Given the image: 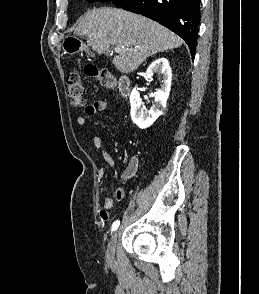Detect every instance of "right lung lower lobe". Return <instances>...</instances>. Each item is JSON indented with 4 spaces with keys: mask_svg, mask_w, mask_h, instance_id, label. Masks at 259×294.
<instances>
[{
    "mask_svg": "<svg viewBox=\"0 0 259 294\" xmlns=\"http://www.w3.org/2000/svg\"><path fill=\"white\" fill-rule=\"evenodd\" d=\"M121 8L153 19L179 35L195 56L200 0H128Z\"/></svg>",
    "mask_w": 259,
    "mask_h": 294,
    "instance_id": "98d812e1",
    "label": "right lung lower lobe"
}]
</instances>
